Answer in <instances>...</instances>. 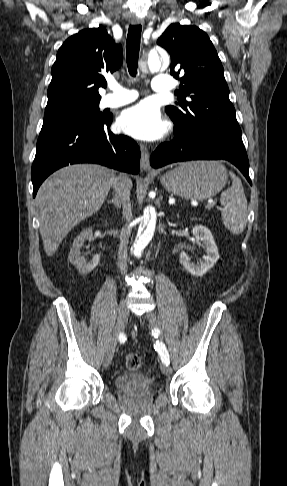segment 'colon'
Segmentation results:
<instances>
[{
    "instance_id": "colon-1",
    "label": "colon",
    "mask_w": 287,
    "mask_h": 486,
    "mask_svg": "<svg viewBox=\"0 0 287 486\" xmlns=\"http://www.w3.org/2000/svg\"><path fill=\"white\" fill-rule=\"evenodd\" d=\"M124 363L129 370H139L143 366L144 361L139 354L129 353L125 356Z\"/></svg>"
}]
</instances>
